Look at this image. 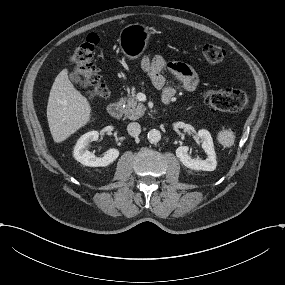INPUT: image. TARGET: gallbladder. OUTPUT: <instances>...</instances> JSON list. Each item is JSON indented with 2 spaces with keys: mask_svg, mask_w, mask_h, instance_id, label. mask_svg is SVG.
<instances>
[{
  "mask_svg": "<svg viewBox=\"0 0 285 285\" xmlns=\"http://www.w3.org/2000/svg\"><path fill=\"white\" fill-rule=\"evenodd\" d=\"M69 78L74 84L80 85L83 83V78L78 73H74V72L70 73Z\"/></svg>",
  "mask_w": 285,
  "mask_h": 285,
  "instance_id": "obj_1",
  "label": "gallbladder"
}]
</instances>
